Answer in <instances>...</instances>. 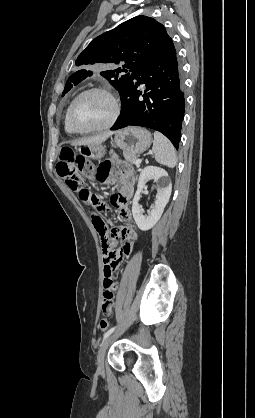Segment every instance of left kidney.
Returning a JSON list of instances; mask_svg holds the SVG:
<instances>
[{"label":"left kidney","instance_id":"left-kidney-1","mask_svg":"<svg viewBox=\"0 0 255 418\" xmlns=\"http://www.w3.org/2000/svg\"><path fill=\"white\" fill-rule=\"evenodd\" d=\"M149 180H154L157 183V194L155 205L148 212V215L144 216L139 205V200L141 197L140 194L146 182ZM171 191L172 184L168 173L164 169L156 166H147L141 171L132 204L133 218L140 230L147 231L159 221L169 201Z\"/></svg>","mask_w":255,"mask_h":418}]
</instances>
